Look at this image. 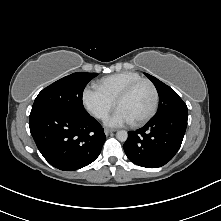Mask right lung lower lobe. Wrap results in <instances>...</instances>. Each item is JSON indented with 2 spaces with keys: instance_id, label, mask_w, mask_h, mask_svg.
<instances>
[{
  "instance_id": "obj_1",
  "label": "right lung lower lobe",
  "mask_w": 221,
  "mask_h": 221,
  "mask_svg": "<svg viewBox=\"0 0 221 221\" xmlns=\"http://www.w3.org/2000/svg\"><path fill=\"white\" fill-rule=\"evenodd\" d=\"M29 127L43 157L64 171L92 163L106 140L101 125L86 111H42L30 116Z\"/></svg>"
}]
</instances>
